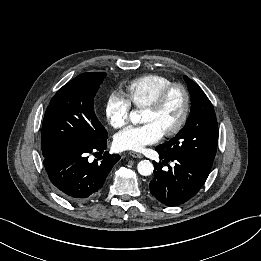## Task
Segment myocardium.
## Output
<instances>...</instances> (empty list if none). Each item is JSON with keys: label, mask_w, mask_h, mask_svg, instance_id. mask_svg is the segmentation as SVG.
<instances>
[{"label": "myocardium", "mask_w": 261, "mask_h": 261, "mask_svg": "<svg viewBox=\"0 0 261 261\" xmlns=\"http://www.w3.org/2000/svg\"><path fill=\"white\" fill-rule=\"evenodd\" d=\"M176 90L180 91L183 95V110L178 122L174 125V127L163 133V135L166 137H172L178 134L183 129L188 120L191 108V96L186 86L181 83L170 84L159 93L156 100L152 104L145 107V110H148L153 113H158L164 107L169 96Z\"/></svg>", "instance_id": "obj_1"}]
</instances>
